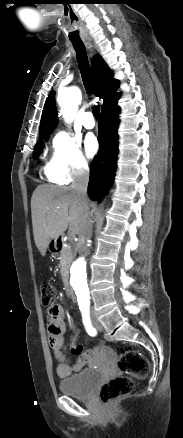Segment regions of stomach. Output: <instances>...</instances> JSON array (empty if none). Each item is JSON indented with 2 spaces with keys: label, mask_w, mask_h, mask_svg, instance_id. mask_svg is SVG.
Returning <instances> with one entry per match:
<instances>
[{
  "label": "stomach",
  "mask_w": 183,
  "mask_h": 438,
  "mask_svg": "<svg viewBox=\"0 0 183 438\" xmlns=\"http://www.w3.org/2000/svg\"><path fill=\"white\" fill-rule=\"evenodd\" d=\"M56 243H57V238H56V239H53L50 248H51V247H52V248H56Z\"/></svg>",
  "instance_id": "obj_1"
}]
</instances>
